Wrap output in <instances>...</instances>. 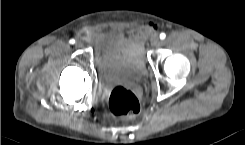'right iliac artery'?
Segmentation results:
<instances>
[{
    "label": "right iliac artery",
    "instance_id": "82829eb1",
    "mask_svg": "<svg viewBox=\"0 0 245 145\" xmlns=\"http://www.w3.org/2000/svg\"><path fill=\"white\" fill-rule=\"evenodd\" d=\"M70 44H74L75 43V40L74 39H70Z\"/></svg>",
    "mask_w": 245,
    "mask_h": 145
}]
</instances>
